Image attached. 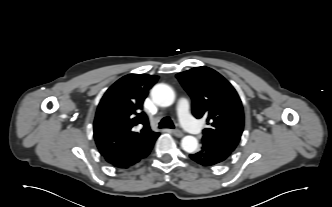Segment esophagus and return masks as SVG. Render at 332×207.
Returning a JSON list of instances; mask_svg holds the SVG:
<instances>
[{
    "mask_svg": "<svg viewBox=\"0 0 332 207\" xmlns=\"http://www.w3.org/2000/svg\"><path fill=\"white\" fill-rule=\"evenodd\" d=\"M172 133L176 136V137H182L184 134H183V132L181 131V130H179V129H173L172 130Z\"/></svg>",
    "mask_w": 332,
    "mask_h": 207,
    "instance_id": "34e87169",
    "label": "esophagus"
}]
</instances>
